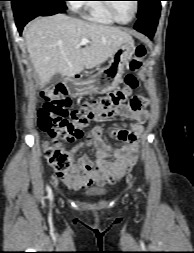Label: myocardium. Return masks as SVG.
I'll use <instances>...</instances> for the list:
<instances>
[{"label":"myocardium","instance_id":"myocardium-1","mask_svg":"<svg viewBox=\"0 0 194 253\" xmlns=\"http://www.w3.org/2000/svg\"><path fill=\"white\" fill-rule=\"evenodd\" d=\"M106 1H107V2L104 3V6H105L107 12L109 13V15H110L116 22H118V23H120V24H128V23H130V22L135 18L136 14H137V12H138V9H139V3H138V1H137V0H134V12H133L132 16H131L128 20H121V19L117 16V14H116V12H115L113 6H112V3L109 2V1H111V0H106Z\"/></svg>","mask_w":194,"mask_h":253}]
</instances>
